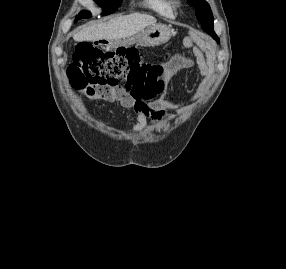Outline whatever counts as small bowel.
I'll use <instances>...</instances> for the list:
<instances>
[{"label":"small bowel","mask_w":286,"mask_h":269,"mask_svg":"<svg viewBox=\"0 0 286 269\" xmlns=\"http://www.w3.org/2000/svg\"><path fill=\"white\" fill-rule=\"evenodd\" d=\"M192 42L188 41L187 46H191ZM212 54L208 44L198 43L193 48V56H174L168 63V71L170 75H174L183 68L194 67L195 73L205 79H208L212 73ZM208 83L205 80L201 84L204 88ZM100 95L107 99L115 100L128 108L135 115L134 131L141 132L145 129L147 121L153 119L159 123L170 122L174 119V115L165 110L166 102L163 98H159L153 102H146L139 97L134 96L130 92L121 88H112L101 93L91 92L89 95Z\"/></svg>","instance_id":"obj_1"}]
</instances>
